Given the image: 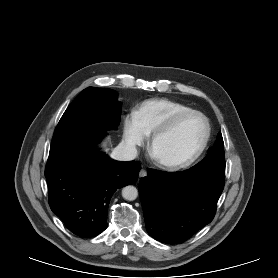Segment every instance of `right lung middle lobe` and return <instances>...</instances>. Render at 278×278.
<instances>
[{
	"label": "right lung middle lobe",
	"mask_w": 278,
	"mask_h": 278,
	"mask_svg": "<svg viewBox=\"0 0 278 278\" xmlns=\"http://www.w3.org/2000/svg\"><path fill=\"white\" fill-rule=\"evenodd\" d=\"M121 103L111 89L88 87L68 106L53 135L52 144L89 131L116 129Z\"/></svg>",
	"instance_id": "obj_1"
}]
</instances>
